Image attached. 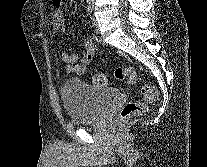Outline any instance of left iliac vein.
Listing matches in <instances>:
<instances>
[{
	"instance_id": "1",
	"label": "left iliac vein",
	"mask_w": 207,
	"mask_h": 167,
	"mask_svg": "<svg viewBox=\"0 0 207 167\" xmlns=\"http://www.w3.org/2000/svg\"><path fill=\"white\" fill-rule=\"evenodd\" d=\"M93 28L98 33L99 32V25L95 17L92 18Z\"/></svg>"
}]
</instances>
